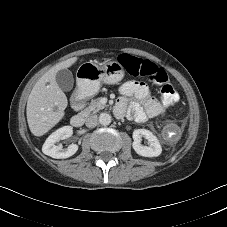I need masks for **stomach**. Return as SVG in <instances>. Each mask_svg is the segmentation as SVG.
<instances>
[{"instance_id": "stomach-1", "label": "stomach", "mask_w": 227, "mask_h": 227, "mask_svg": "<svg viewBox=\"0 0 227 227\" xmlns=\"http://www.w3.org/2000/svg\"><path fill=\"white\" fill-rule=\"evenodd\" d=\"M77 72L78 90L86 97L96 95L101 84H116L124 77L123 66L117 61H106L102 66L85 62Z\"/></svg>"}]
</instances>
